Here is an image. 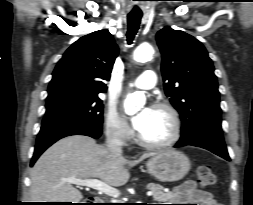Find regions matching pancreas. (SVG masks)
<instances>
[{
	"label": "pancreas",
	"instance_id": "pancreas-1",
	"mask_svg": "<svg viewBox=\"0 0 253 205\" xmlns=\"http://www.w3.org/2000/svg\"><path fill=\"white\" fill-rule=\"evenodd\" d=\"M147 188L153 192V198L155 201L166 202L171 199V194L165 193L163 187L159 184L150 183L147 185Z\"/></svg>",
	"mask_w": 253,
	"mask_h": 205
}]
</instances>
